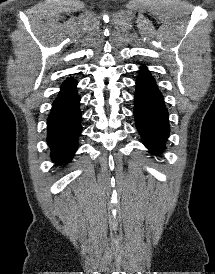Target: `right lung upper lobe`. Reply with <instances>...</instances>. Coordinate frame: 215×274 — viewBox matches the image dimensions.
Wrapping results in <instances>:
<instances>
[{
    "mask_svg": "<svg viewBox=\"0 0 215 274\" xmlns=\"http://www.w3.org/2000/svg\"><path fill=\"white\" fill-rule=\"evenodd\" d=\"M76 85H77V82L75 79H72V78L66 79L62 84L61 91L59 92L56 100L62 97H65L71 92H73L76 89Z\"/></svg>",
    "mask_w": 215,
    "mask_h": 274,
    "instance_id": "1",
    "label": "right lung upper lobe"
}]
</instances>
